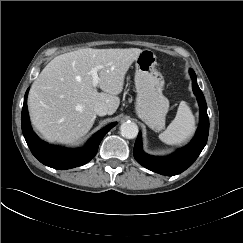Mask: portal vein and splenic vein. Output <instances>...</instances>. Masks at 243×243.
I'll list each match as a JSON object with an SVG mask.
<instances>
[{
  "instance_id": "1",
  "label": "portal vein and splenic vein",
  "mask_w": 243,
  "mask_h": 243,
  "mask_svg": "<svg viewBox=\"0 0 243 243\" xmlns=\"http://www.w3.org/2000/svg\"><path fill=\"white\" fill-rule=\"evenodd\" d=\"M102 66L94 67L90 70V75L92 76V83L94 87H97L100 81V78L98 76V70L101 69Z\"/></svg>"
}]
</instances>
